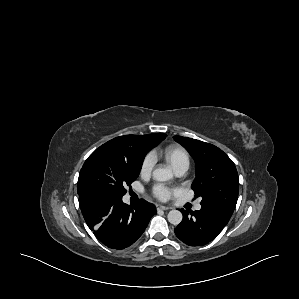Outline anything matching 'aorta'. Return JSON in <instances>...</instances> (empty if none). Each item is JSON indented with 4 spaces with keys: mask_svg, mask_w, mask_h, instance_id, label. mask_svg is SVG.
<instances>
[{
    "mask_svg": "<svg viewBox=\"0 0 299 299\" xmlns=\"http://www.w3.org/2000/svg\"><path fill=\"white\" fill-rule=\"evenodd\" d=\"M153 179L158 182L168 181L173 177L172 171L167 168H157L153 171ZM168 221L173 225H178L183 219V215L179 210H171L168 213Z\"/></svg>",
    "mask_w": 299,
    "mask_h": 299,
    "instance_id": "obj_1",
    "label": "aorta"
}]
</instances>
